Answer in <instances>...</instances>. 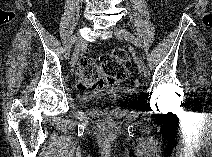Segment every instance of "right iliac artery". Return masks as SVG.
<instances>
[{
	"mask_svg": "<svg viewBox=\"0 0 212 157\" xmlns=\"http://www.w3.org/2000/svg\"><path fill=\"white\" fill-rule=\"evenodd\" d=\"M74 42H75V38H74V36H72L69 38L68 43L65 47V57L67 59H69V57H70V51H71V48H72Z\"/></svg>",
	"mask_w": 212,
	"mask_h": 157,
	"instance_id": "1",
	"label": "right iliac artery"
}]
</instances>
